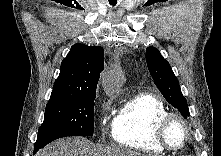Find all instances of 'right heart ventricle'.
<instances>
[{"label": "right heart ventricle", "mask_w": 221, "mask_h": 156, "mask_svg": "<svg viewBox=\"0 0 221 156\" xmlns=\"http://www.w3.org/2000/svg\"><path fill=\"white\" fill-rule=\"evenodd\" d=\"M167 112V107L157 96L137 94L115 115L111 127L112 138L127 148L160 154L165 149L157 141L155 130L157 122Z\"/></svg>", "instance_id": "right-heart-ventricle-1"}]
</instances>
